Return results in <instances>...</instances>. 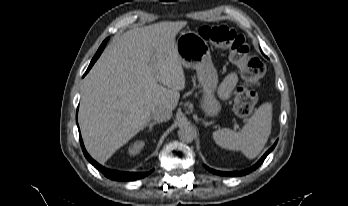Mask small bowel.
<instances>
[{"label":"small bowel","mask_w":348,"mask_h":206,"mask_svg":"<svg viewBox=\"0 0 348 206\" xmlns=\"http://www.w3.org/2000/svg\"><path fill=\"white\" fill-rule=\"evenodd\" d=\"M238 82V77L235 73L229 74L219 87V95L222 99H227L232 93V90Z\"/></svg>","instance_id":"c3829d8e"}]
</instances>
